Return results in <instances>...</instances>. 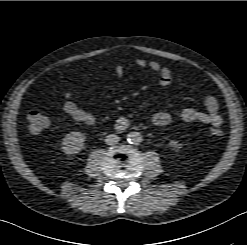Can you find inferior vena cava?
<instances>
[{"label": "inferior vena cava", "mask_w": 247, "mask_h": 245, "mask_svg": "<svg viewBox=\"0 0 247 245\" xmlns=\"http://www.w3.org/2000/svg\"><path fill=\"white\" fill-rule=\"evenodd\" d=\"M120 137L116 134H109L106 136L105 142L107 145H115L119 142Z\"/></svg>", "instance_id": "602c4592"}]
</instances>
